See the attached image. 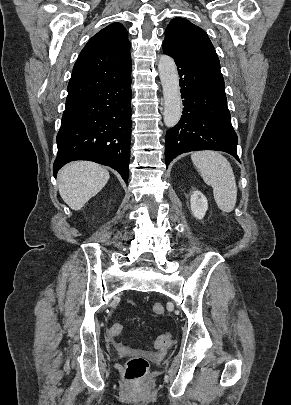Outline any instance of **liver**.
Instances as JSON below:
<instances>
[{"mask_svg": "<svg viewBox=\"0 0 291 405\" xmlns=\"http://www.w3.org/2000/svg\"><path fill=\"white\" fill-rule=\"evenodd\" d=\"M109 172L94 162L76 161L58 174L59 193L72 210H80L109 180Z\"/></svg>", "mask_w": 291, "mask_h": 405, "instance_id": "1", "label": "liver"}]
</instances>
